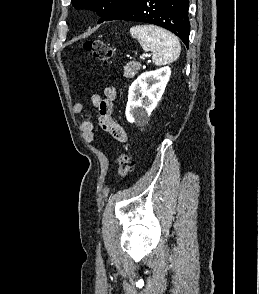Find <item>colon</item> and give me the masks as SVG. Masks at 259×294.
I'll use <instances>...</instances> for the list:
<instances>
[{
    "instance_id": "obj_1",
    "label": "colon",
    "mask_w": 259,
    "mask_h": 294,
    "mask_svg": "<svg viewBox=\"0 0 259 294\" xmlns=\"http://www.w3.org/2000/svg\"><path fill=\"white\" fill-rule=\"evenodd\" d=\"M84 48L87 50L94 58L106 61L112 56V47L110 44L104 42L103 40L93 39L88 40L84 43ZM119 165V175L120 177H126L132 170L133 161L132 157L128 152H121L118 157Z\"/></svg>"
}]
</instances>
